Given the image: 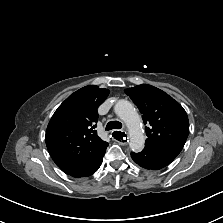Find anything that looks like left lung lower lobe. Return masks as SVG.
Returning <instances> with one entry per match:
<instances>
[{"instance_id":"0a47b994","label":"left lung lower lobe","mask_w":223,"mask_h":223,"mask_svg":"<svg viewBox=\"0 0 223 223\" xmlns=\"http://www.w3.org/2000/svg\"><path fill=\"white\" fill-rule=\"evenodd\" d=\"M133 161L147 170H159L170 164L176 155L169 152L145 146L139 153H131Z\"/></svg>"}]
</instances>
